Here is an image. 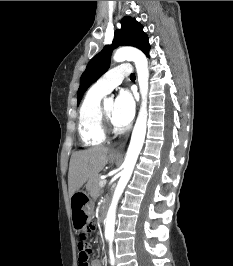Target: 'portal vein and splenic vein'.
Returning a JSON list of instances; mask_svg holds the SVG:
<instances>
[{
    "instance_id": "portal-vein-and-splenic-vein-1",
    "label": "portal vein and splenic vein",
    "mask_w": 233,
    "mask_h": 266,
    "mask_svg": "<svg viewBox=\"0 0 233 266\" xmlns=\"http://www.w3.org/2000/svg\"><path fill=\"white\" fill-rule=\"evenodd\" d=\"M106 183H107V180H106V179L101 180V181L99 182V186H100V187H104V186L106 185Z\"/></svg>"
}]
</instances>
